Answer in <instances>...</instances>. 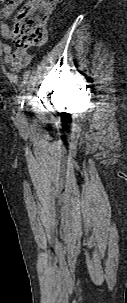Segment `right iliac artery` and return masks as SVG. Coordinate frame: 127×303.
I'll list each match as a JSON object with an SVG mask.
<instances>
[{"label":"right iliac artery","instance_id":"1","mask_svg":"<svg viewBox=\"0 0 127 303\" xmlns=\"http://www.w3.org/2000/svg\"><path fill=\"white\" fill-rule=\"evenodd\" d=\"M25 99H26L25 90H24L23 85H22L21 95L19 97V110L23 109Z\"/></svg>","mask_w":127,"mask_h":303}]
</instances>
